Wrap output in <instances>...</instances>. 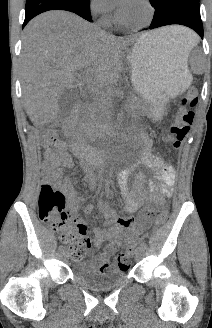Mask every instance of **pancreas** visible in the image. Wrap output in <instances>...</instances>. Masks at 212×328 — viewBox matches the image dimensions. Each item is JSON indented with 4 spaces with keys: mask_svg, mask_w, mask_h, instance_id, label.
<instances>
[{
    "mask_svg": "<svg viewBox=\"0 0 212 328\" xmlns=\"http://www.w3.org/2000/svg\"><path fill=\"white\" fill-rule=\"evenodd\" d=\"M102 104L105 112L101 116L91 114L89 106H86L81 114L80 127L88 138L94 137L100 131L101 120L105 118V116L108 114V110L112 107L111 98H104L102 100ZM126 107L132 110L141 109L143 108V103L137 97H130Z\"/></svg>",
    "mask_w": 212,
    "mask_h": 328,
    "instance_id": "pancreas-1",
    "label": "pancreas"
}]
</instances>
